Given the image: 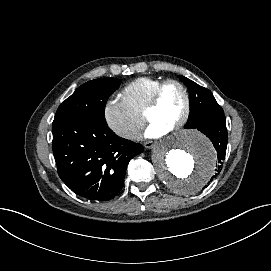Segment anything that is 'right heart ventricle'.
<instances>
[{
    "label": "right heart ventricle",
    "mask_w": 271,
    "mask_h": 271,
    "mask_svg": "<svg viewBox=\"0 0 271 271\" xmlns=\"http://www.w3.org/2000/svg\"><path fill=\"white\" fill-rule=\"evenodd\" d=\"M163 80L161 77L143 76L125 85L122 89V95L129 108L133 112L144 116L153 91Z\"/></svg>",
    "instance_id": "e07e8e85"
}]
</instances>
